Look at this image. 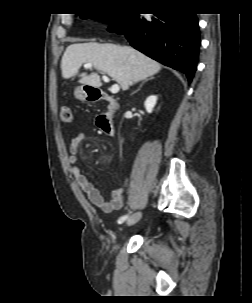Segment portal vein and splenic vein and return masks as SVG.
<instances>
[{
    "label": "portal vein and splenic vein",
    "mask_w": 252,
    "mask_h": 303,
    "mask_svg": "<svg viewBox=\"0 0 252 303\" xmlns=\"http://www.w3.org/2000/svg\"><path fill=\"white\" fill-rule=\"evenodd\" d=\"M84 67H85V68H91V67H92V64H91V63H86V64H84ZM103 80L106 81V82H109V81H110V79H109L107 76H105V75L103 76ZM119 90H120V87H119L118 84L112 85V87H111V89H110V91H111L112 94L118 93Z\"/></svg>",
    "instance_id": "1"
}]
</instances>
